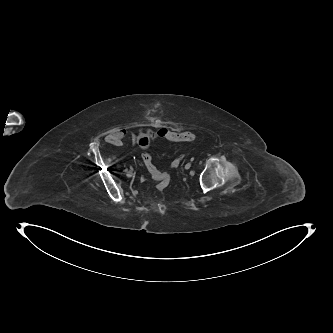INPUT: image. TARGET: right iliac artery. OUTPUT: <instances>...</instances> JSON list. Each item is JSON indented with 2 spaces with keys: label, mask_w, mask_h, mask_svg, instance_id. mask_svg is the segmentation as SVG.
<instances>
[{
  "label": "right iliac artery",
  "mask_w": 333,
  "mask_h": 333,
  "mask_svg": "<svg viewBox=\"0 0 333 333\" xmlns=\"http://www.w3.org/2000/svg\"><path fill=\"white\" fill-rule=\"evenodd\" d=\"M125 172L129 173L130 171L128 169H125Z\"/></svg>",
  "instance_id": "1"
}]
</instances>
